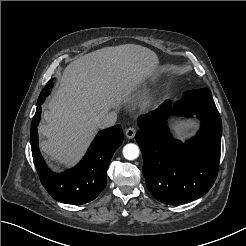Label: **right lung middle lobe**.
<instances>
[{"label":"right lung middle lobe","mask_w":246,"mask_h":246,"mask_svg":"<svg viewBox=\"0 0 246 246\" xmlns=\"http://www.w3.org/2000/svg\"><path fill=\"white\" fill-rule=\"evenodd\" d=\"M53 85H54L53 79L48 81V83L46 84V86L44 87V89L42 90V92L40 93V95L38 97L37 105L44 102L45 98L51 92Z\"/></svg>","instance_id":"right-lung-middle-lobe-1"}]
</instances>
